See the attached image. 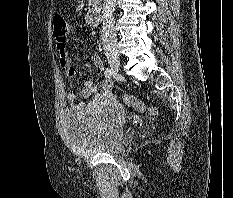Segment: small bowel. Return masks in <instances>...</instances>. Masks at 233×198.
Here are the masks:
<instances>
[{
  "instance_id": "obj_1",
  "label": "small bowel",
  "mask_w": 233,
  "mask_h": 198,
  "mask_svg": "<svg viewBox=\"0 0 233 198\" xmlns=\"http://www.w3.org/2000/svg\"><path fill=\"white\" fill-rule=\"evenodd\" d=\"M66 43L67 37L63 40L56 39L58 61L60 66L65 70L66 75L69 78H74L76 76V69L72 64V59L66 52ZM92 63L100 70L104 67L103 61L98 55L92 57ZM82 96L84 98L92 96V99L89 102L82 101L75 104L73 108L76 111L92 113L99 110L102 105L115 101L112 80L106 77L101 83L100 88H97L91 81H85ZM66 97L68 101L73 102L76 99V94L74 92H69Z\"/></svg>"
}]
</instances>
